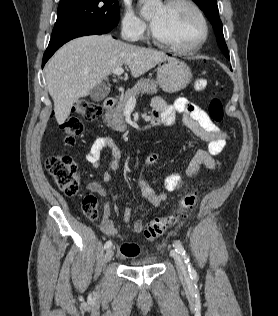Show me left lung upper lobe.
<instances>
[{
	"mask_svg": "<svg viewBox=\"0 0 278 316\" xmlns=\"http://www.w3.org/2000/svg\"><path fill=\"white\" fill-rule=\"evenodd\" d=\"M198 6L204 11L205 15L211 22L215 35L217 38V42L220 46V49L224 53V55L229 59V53L227 49V45L224 40L222 22L219 17V11L216 0H193Z\"/></svg>",
	"mask_w": 278,
	"mask_h": 316,
	"instance_id": "obj_1",
	"label": "left lung upper lobe"
}]
</instances>
